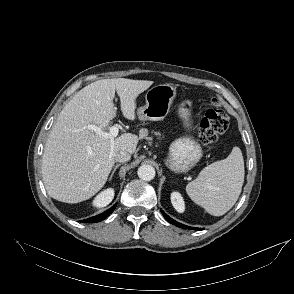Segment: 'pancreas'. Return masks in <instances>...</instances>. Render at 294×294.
<instances>
[{
    "instance_id": "pancreas-1",
    "label": "pancreas",
    "mask_w": 294,
    "mask_h": 294,
    "mask_svg": "<svg viewBox=\"0 0 294 294\" xmlns=\"http://www.w3.org/2000/svg\"><path fill=\"white\" fill-rule=\"evenodd\" d=\"M156 135H160V133H159V132H157V133H156Z\"/></svg>"
}]
</instances>
